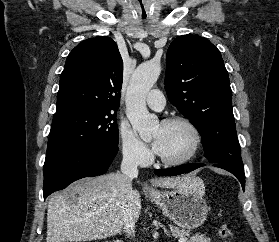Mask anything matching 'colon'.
Returning a JSON list of instances; mask_svg holds the SVG:
<instances>
[{"mask_svg":"<svg viewBox=\"0 0 279 242\" xmlns=\"http://www.w3.org/2000/svg\"><path fill=\"white\" fill-rule=\"evenodd\" d=\"M218 234L220 235L221 238L227 240V241H232L234 239V234L230 226L227 224H222L219 227Z\"/></svg>","mask_w":279,"mask_h":242,"instance_id":"1","label":"colon"}]
</instances>
